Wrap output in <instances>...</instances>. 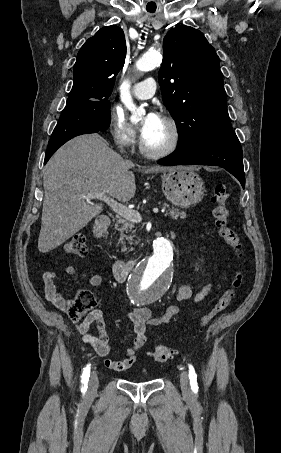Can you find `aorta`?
<instances>
[{"instance_id": "obj_1", "label": "aorta", "mask_w": 281, "mask_h": 453, "mask_svg": "<svg viewBox=\"0 0 281 453\" xmlns=\"http://www.w3.org/2000/svg\"><path fill=\"white\" fill-rule=\"evenodd\" d=\"M162 55L156 52L145 53L137 62L136 68L140 71H150L159 66ZM121 100L131 111L130 120L138 122L145 115V109L136 107L130 94L128 81L120 87ZM154 252L151 257L144 259L135 267L128 279L127 289L132 301L147 305L158 301L167 292L172 283L173 248L166 238H157L153 242Z\"/></svg>"}]
</instances>
